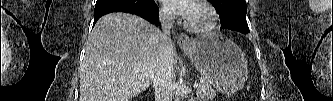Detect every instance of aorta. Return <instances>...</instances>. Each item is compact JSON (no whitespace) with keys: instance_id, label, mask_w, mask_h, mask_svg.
Here are the masks:
<instances>
[{"instance_id":"aorta-1","label":"aorta","mask_w":333,"mask_h":101,"mask_svg":"<svg viewBox=\"0 0 333 101\" xmlns=\"http://www.w3.org/2000/svg\"><path fill=\"white\" fill-rule=\"evenodd\" d=\"M176 101H179V98H178V97L176 98Z\"/></svg>"}]
</instances>
